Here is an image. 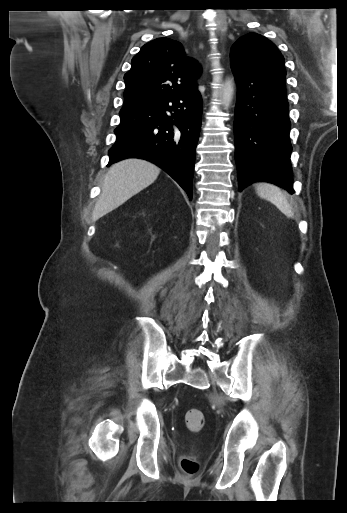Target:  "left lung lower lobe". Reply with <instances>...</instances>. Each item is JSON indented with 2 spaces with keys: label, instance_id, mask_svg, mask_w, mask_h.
I'll list each match as a JSON object with an SVG mask.
<instances>
[{
  "label": "left lung lower lobe",
  "instance_id": "1",
  "mask_svg": "<svg viewBox=\"0 0 347 513\" xmlns=\"http://www.w3.org/2000/svg\"><path fill=\"white\" fill-rule=\"evenodd\" d=\"M231 69L238 84L234 134L239 191L267 181L293 194L285 76Z\"/></svg>",
  "mask_w": 347,
  "mask_h": 513
}]
</instances>
